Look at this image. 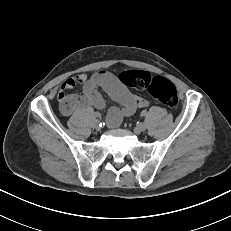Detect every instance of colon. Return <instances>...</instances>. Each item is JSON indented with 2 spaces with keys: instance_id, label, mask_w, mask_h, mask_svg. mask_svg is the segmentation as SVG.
Wrapping results in <instances>:
<instances>
[{
  "instance_id": "5ec220e1",
  "label": "colon",
  "mask_w": 231,
  "mask_h": 231,
  "mask_svg": "<svg viewBox=\"0 0 231 231\" xmlns=\"http://www.w3.org/2000/svg\"><path fill=\"white\" fill-rule=\"evenodd\" d=\"M119 80L137 90H147L156 100L169 108H175L178 104L174 84L163 77H152L146 71L130 70L120 73Z\"/></svg>"
}]
</instances>
